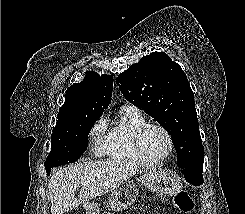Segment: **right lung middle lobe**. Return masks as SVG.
I'll use <instances>...</instances> for the list:
<instances>
[{"label":"right lung middle lobe","instance_id":"1","mask_svg":"<svg viewBox=\"0 0 245 214\" xmlns=\"http://www.w3.org/2000/svg\"><path fill=\"white\" fill-rule=\"evenodd\" d=\"M102 113H89L75 119L69 128L51 135V152L45 161L47 174L51 168L77 161L88 146V134Z\"/></svg>","mask_w":245,"mask_h":214}]
</instances>
